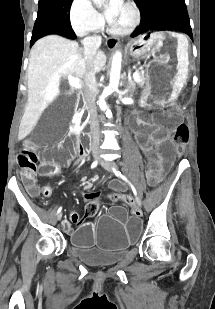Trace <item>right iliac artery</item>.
<instances>
[{"instance_id": "obj_1", "label": "right iliac artery", "mask_w": 215, "mask_h": 309, "mask_svg": "<svg viewBox=\"0 0 215 309\" xmlns=\"http://www.w3.org/2000/svg\"><path fill=\"white\" fill-rule=\"evenodd\" d=\"M96 166H97V161H94V162L92 163V165H91V168H94V167H96ZM61 210H62V207H60V208L58 209L57 214H59V213L61 212Z\"/></svg>"}]
</instances>
